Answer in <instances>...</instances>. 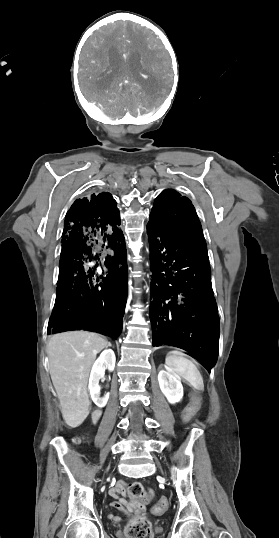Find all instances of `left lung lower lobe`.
I'll list each match as a JSON object with an SVG mask.
<instances>
[{"label":"left lung lower lobe","instance_id":"0a47b994","mask_svg":"<svg viewBox=\"0 0 279 538\" xmlns=\"http://www.w3.org/2000/svg\"><path fill=\"white\" fill-rule=\"evenodd\" d=\"M153 346L188 351L208 370L218 358L219 317L205 240L147 228Z\"/></svg>","mask_w":279,"mask_h":538}]
</instances>
